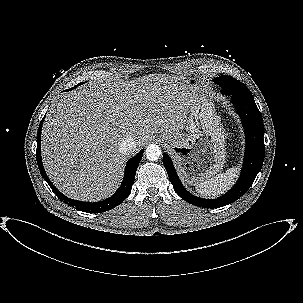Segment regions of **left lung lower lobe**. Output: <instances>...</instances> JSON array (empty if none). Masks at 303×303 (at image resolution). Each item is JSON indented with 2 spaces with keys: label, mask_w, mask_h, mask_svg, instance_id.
<instances>
[{
  "label": "left lung lower lobe",
  "mask_w": 303,
  "mask_h": 303,
  "mask_svg": "<svg viewBox=\"0 0 303 303\" xmlns=\"http://www.w3.org/2000/svg\"><path fill=\"white\" fill-rule=\"evenodd\" d=\"M221 91L231 96L243 123L246 135V150L242 172L238 182L225 195L217 199H202L190 194L181 184L173 163L167 154L163 155V163L176 193L188 203L203 208H219L230 204L243 195L252 185L261 170L264 155V125L260 111L253 96H245L235 86L226 85Z\"/></svg>",
  "instance_id": "0a47b994"
}]
</instances>
